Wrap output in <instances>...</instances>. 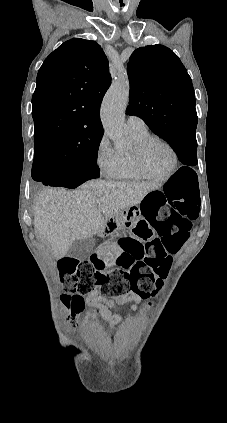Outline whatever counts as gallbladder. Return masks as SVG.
<instances>
[{
  "instance_id": "obj_1",
  "label": "gallbladder",
  "mask_w": 227,
  "mask_h": 423,
  "mask_svg": "<svg viewBox=\"0 0 227 423\" xmlns=\"http://www.w3.org/2000/svg\"><path fill=\"white\" fill-rule=\"evenodd\" d=\"M95 245L94 237H85V239H76L68 249V255L75 259H86L91 255V251Z\"/></svg>"
}]
</instances>
